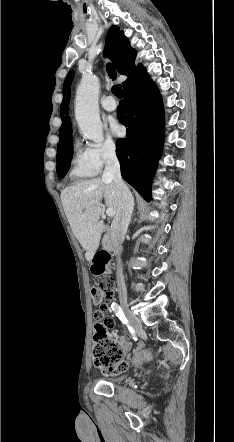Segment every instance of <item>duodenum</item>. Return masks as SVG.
I'll use <instances>...</instances> for the list:
<instances>
[{
  "instance_id": "duodenum-1",
  "label": "duodenum",
  "mask_w": 234,
  "mask_h": 442,
  "mask_svg": "<svg viewBox=\"0 0 234 442\" xmlns=\"http://www.w3.org/2000/svg\"><path fill=\"white\" fill-rule=\"evenodd\" d=\"M105 231L108 232V228L107 227H105ZM113 248H114V246H113L112 239L109 236V234L106 233V236H105V251H103V253L111 252V251H113Z\"/></svg>"
}]
</instances>
